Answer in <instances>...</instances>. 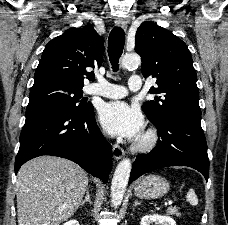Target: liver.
Masks as SVG:
<instances>
[{
    "instance_id": "6515ba94",
    "label": "liver",
    "mask_w": 228,
    "mask_h": 225,
    "mask_svg": "<svg viewBox=\"0 0 228 225\" xmlns=\"http://www.w3.org/2000/svg\"><path fill=\"white\" fill-rule=\"evenodd\" d=\"M88 187L78 165L60 157H37L18 171V225H60L76 213Z\"/></svg>"
}]
</instances>
